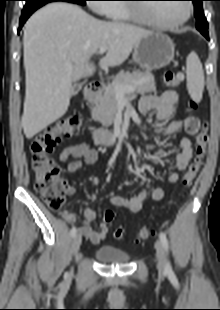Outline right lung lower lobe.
I'll return each instance as SVG.
<instances>
[{"mask_svg": "<svg viewBox=\"0 0 220 310\" xmlns=\"http://www.w3.org/2000/svg\"><path fill=\"white\" fill-rule=\"evenodd\" d=\"M54 1H67V2H71V3H77V2H73L72 0H54ZM51 2V1H50ZM46 3L49 2H44L42 4H38V5H32V6H24L23 10H22V14H21V18H20V22H19V30L22 28L23 24L26 22V20L29 18V16L38 8H40L41 6L45 5ZM78 4V3H77Z\"/></svg>", "mask_w": 220, "mask_h": 310, "instance_id": "obj_1", "label": "right lung lower lobe"}]
</instances>
